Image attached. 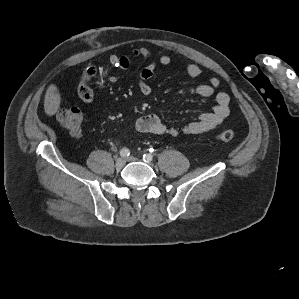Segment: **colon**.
<instances>
[{
  "instance_id": "1",
  "label": "colon",
  "mask_w": 299,
  "mask_h": 299,
  "mask_svg": "<svg viewBox=\"0 0 299 299\" xmlns=\"http://www.w3.org/2000/svg\"><path fill=\"white\" fill-rule=\"evenodd\" d=\"M56 118L59 124L71 135L78 137L82 132L83 113L76 106H65L58 109ZM217 140L229 142L235 138L232 130H223L216 134Z\"/></svg>"
}]
</instances>
